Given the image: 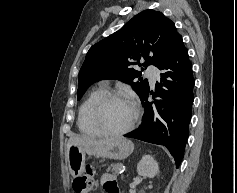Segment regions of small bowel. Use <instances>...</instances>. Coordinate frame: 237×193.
<instances>
[{"instance_id": "small-bowel-1", "label": "small bowel", "mask_w": 237, "mask_h": 193, "mask_svg": "<svg viewBox=\"0 0 237 193\" xmlns=\"http://www.w3.org/2000/svg\"><path fill=\"white\" fill-rule=\"evenodd\" d=\"M101 184L106 193H119L117 183L112 174L105 173L101 176Z\"/></svg>"}]
</instances>
